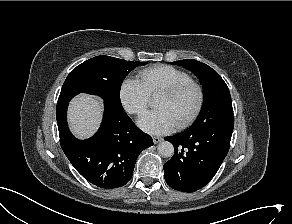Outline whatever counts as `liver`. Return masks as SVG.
Masks as SVG:
<instances>
[{
	"label": "liver",
	"mask_w": 292,
	"mask_h": 224,
	"mask_svg": "<svg viewBox=\"0 0 292 224\" xmlns=\"http://www.w3.org/2000/svg\"><path fill=\"white\" fill-rule=\"evenodd\" d=\"M102 116L99 101L87 94L75 97L69 106L70 129L78 138L91 136L98 128Z\"/></svg>",
	"instance_id": "liver-1"
}]
</instances>
